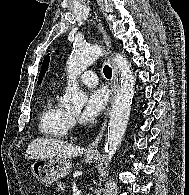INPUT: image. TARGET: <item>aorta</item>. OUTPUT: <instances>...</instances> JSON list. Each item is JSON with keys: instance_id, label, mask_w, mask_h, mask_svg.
<instances>
[{"instance_id": "762f6f07", "label": "aorta", "mask_w": 189, "mask_h": 195, "mask_svg": "<svg viewBox=\"0 0 189 195\" xmlns=\"http://www.w3.org/2000/svg\"><path fill=\"white\" fill-rule=\"evenodd\" d=\"M102 54L103 48L98 45L74 46L67 62L68 83L62 100L65 108H83L87 98L78 86L77 77ZM113 62L120 73V87L113 102L107 129L104 150L108 161L113 158L125 134L135 89L134 75L127 59L121 54H116Z\"/></svg>"}]
</instances>
